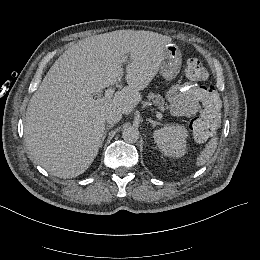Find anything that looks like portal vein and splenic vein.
Returning a JSON list of instances; mask_svg holds the SVG:
<instances>
[{
	"mask_svg": "<svg viewBox=\"0 0 260 260\" xmlns=\"http://www.w3.org/2000/svg\"><path fill=\"white\" fill-rule=\"evenodd\" d=\"M115 93V88H107L105 90V93H104V96L102 97V94L101 93H97L95 95L96 99H95V102H104L105 100H111L113 98V95ZM156 117L158 119H161L162 118V115L160 112H157L156 113Z\"/></svg>",
	"mask_w": 260,
	"mask_h": 260,
	"instance_id": "18ae733b",
	"label": "portal vein and splenic vein"
}]
</instances>
